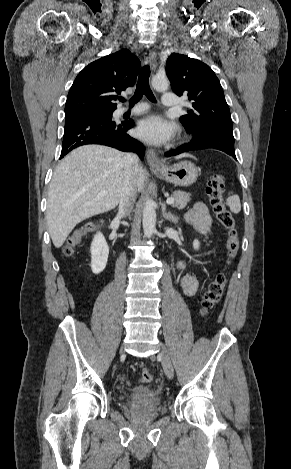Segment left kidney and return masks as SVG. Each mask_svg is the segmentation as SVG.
<instances>
[{
    "label": "left kidney",
    "instance_id": "left-kidney-1",
    "mask_svg": "<svg viewBox=\"0 0 291 469\" xmlns=\"http://www.w3.org/2000/svg\"><path fill=\"white\" fill-rule=\"evenodd\" d=\"M199 246H200L199 241H198V240H195L194 243H193L194 249H195V250H198Z\"/></svg>",
    "mask_w": 291,
    "mask_h": 469
}]
</instances>
